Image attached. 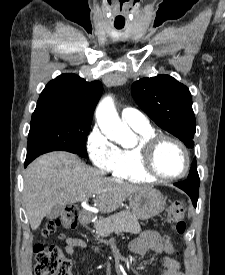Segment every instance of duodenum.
I'll list each match as a JSON object with an SVG mask.
<instances>
[{"label":"duodenum","mask_w":225,"mask_h":275,"mask_svg":"<svg viewBox=\"0 0 225 275\" xmlns=\"http://www.w3.org/2000/svg\"><path fill=\"white\" fill-rule=\"evenodd\" d=\"M78 219L82 225H88V223L90 222V218L86 216V212L84 211L79 212Z\"/></svg>","instance_id":"obj_1"}]
</instances>
